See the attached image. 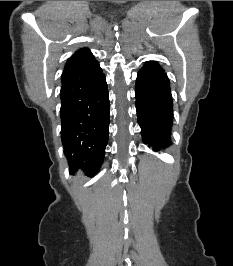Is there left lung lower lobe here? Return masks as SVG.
I'll list each match as a JSON object with an SVG mask.
<instances>
[{
	"label": "left lung lower lobe",
	"instance_id": "1",
	"mask_svg": "<svg viewBox=\"0 0 233 266\" xmlns=\"http://www.w3.org/2000/svg\"><path fill=\"white\" fill-rule=\"evenodd\" d=\"M136 109L145 144L154 151L171 145L173 100L169 79L155 61L146 62L136 80Z\"/></svg>",
	"mask_w": 233,
	"mask_h": 266
}]
</instances>
